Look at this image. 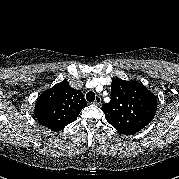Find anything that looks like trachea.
<instances>
[{
  "mask_svg": "<svg viewBox=\"0 0 179 179\" xmlns=\"http://www.w3.org/2000/svg\"><path fill=\"white\" fill-rule=\"evenodd\" d=\"M86 99L89 102H93L95 100V93L90 91L86 94Z\"/></svg>",
  "mask_w": 179,
  "mask_h": 179,
  "instance_id": "3493384b",
  "label": "trachea"
}]
</instances>
